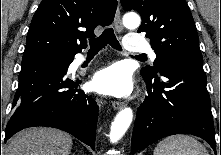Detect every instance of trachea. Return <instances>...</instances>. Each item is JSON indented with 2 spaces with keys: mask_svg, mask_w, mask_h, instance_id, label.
<instances>
[{
  "mask_svg": "<svg viewBox=\"0 0 221 155\" xmlns=\"http://www.w3.org/2000/svg\"><path fill=\"white\" fill-rule=\"evenodd\" d=\"M90 50L89 52L97 53L102 48H104L107 44L111 45L116 50H121V45L119 44L115 34L114 30L112 28H108L104 30V32L97 38L90 39ZM138 58H145V55H138L136 56Z\"/></svg>",
  "mask_w": 221,
  "mask_h": 155,
  "instance_id": "trachea-1",
  "label": "trachea"
}]
</instances>
